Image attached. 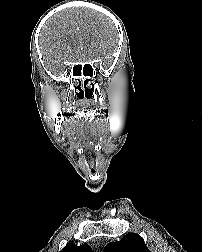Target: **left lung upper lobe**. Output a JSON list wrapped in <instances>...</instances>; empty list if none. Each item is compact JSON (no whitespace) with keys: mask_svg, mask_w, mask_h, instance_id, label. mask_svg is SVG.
Listing matches in <instances>:
<instances>
[{"mask_svg":"<svg viewBox=\"0 0 202 252\" xmlns=\"http://www.w3.org/2000/svg\"><path fill=\"white\" fill-rule=\"evenodd\" d=\"M105 252H151L141 236L130 233L120 241L110 243Z\"/></svg>","mask_w":202,"mask_h":252,"instance_id":"1","label":"left lung upper lobe"}]
</instances>
